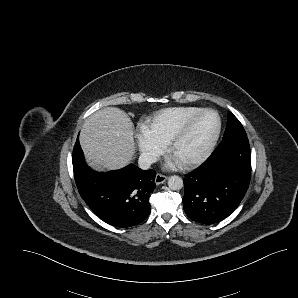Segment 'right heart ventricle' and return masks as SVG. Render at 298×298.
I'll return each mask as SVG.
<instances>
[{
	"label": "right heart ventricle",
	"instance_id": "obj_1",
	"mask_svg": "<svg viewBox=\"0 0 298 298\" xmlns=\"http://www.w3.org/2000/svg\"><path fill=\"white\" fill-rule=\"evenodd\" d=\"M201 110L202 108L195 106L166 108L152 116L151 125L159 130L166 140V137L170 135L178 124Z\"/></svg>",
	"mask_w": 298,
	"mask_h": 298
}]
</instances>
